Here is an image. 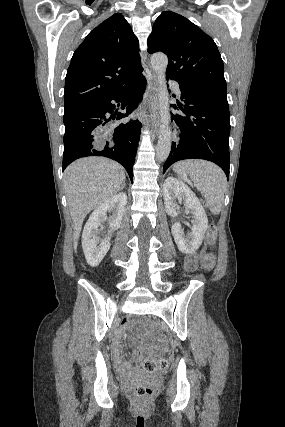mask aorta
Returning <instances> with one entry per match:
<instances>
[{
	"mask_svg": "<svg viewBox=\"0 0 285 427\" xmlns=\"http://www.w3.org/2000/svg\"><path fill=\"white\" fill-rule=\"evenodd\" d=\"M151 65L158 83L159 112L161 118L160 133L156 147V158L159 162L167 160L171 151V129L169 111V93L166 85L168 58L163 53H155L151 57Z\"/></svg>",
	"mask_w": 285,
	"mask_h": 427,
	"instance_id": "aorta-1",
	"label": "aorta"
}]
</instances>
